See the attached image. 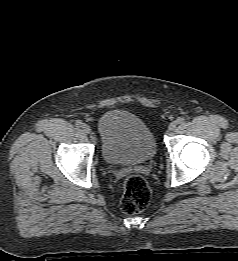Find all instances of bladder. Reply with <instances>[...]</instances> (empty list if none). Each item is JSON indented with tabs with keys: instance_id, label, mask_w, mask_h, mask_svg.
<instances>
[{
	"instance_id": "obj_1",
	"label": "bladder",
	"mask_w": 238,
	"mask_h": 261,
	"mask_svg": "<svg viewBox=\"0 0 238 261\" xmlns=\"http://www.w3.org/2000/svg\"><path fill=\"white\" fill-rule=\"evenodd\" d=\"M103 159L111 165H137L151 160L157 144L148 126L135 114L110 110L98 120Z\"/></svg>"
}]
</instances>
